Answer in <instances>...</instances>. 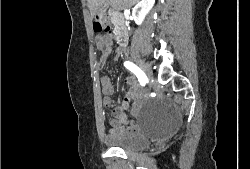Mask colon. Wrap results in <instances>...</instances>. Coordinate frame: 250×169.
Masks as SVG:
<instances>
[{
    "label": "colon",
    "instance_id": "obj_1",
    "mask_svg": "<svg viewBox=\"0 0 250 169\" xmlns=\"http://www.w3.org/2000/svg\"><path fill=\"white\" fill-rule=\"evenodd\" d=\"M93 29L96 33H100V32H106L108 35L112 34V29L109 25H106L102 18L100 16H97L94 24H93Z\"/></svg>",
    "mask_w": 250,
    "mask_h": 169
}]
</instances>
